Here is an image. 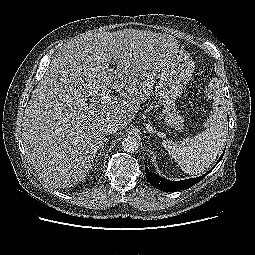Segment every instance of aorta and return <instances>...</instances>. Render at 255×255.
<instances>
[{"mask_svg": "<svg viewBox=\"0 0 255 255\" xmlns=\"http://www.w3.org/2000/svg\"><path fill=\"white\" fill-rule=\"evenodd\" d=\"M122 148L127 153H134L139 148V142L134 136H127L122 141Z\"/></svg>", "mask_w": 255, "mask_h": 255, "instance_id": "1", "label": "aorta"}]
</instances>
